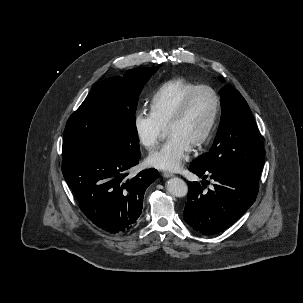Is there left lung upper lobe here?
Instances as JSON below:
<instances>
[{
	"label": "left lung upper lobe",
	"mask_w": 303,
	"mask_h": 303,
	"mask_svg": "<svg viewBox=\"0 0 303 303\" xmlns=\"http://www.w3.org/2000/svg\"><path fill=\"white\" fill-rule=\"evenodd\" d=\"M222 114L211 150L192 163L220 167L259 182L264 162V147L250 108L234 87L221 90Z\"/></svg>",
	"instance_id": "1"
}]
</instances>
